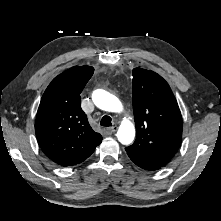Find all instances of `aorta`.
Returning a JSON list of instances; mask_svg holds the SVG:
<instances>
[{
    "label": "aorta",
    "mask_w": 221,
    "mask_h": 221,
    "mask_svg": "<svg viewBox=\"0 0 221 221\" xmlns=\"http://www.w3.org/2000/svg\"><path fill=\"white\" fill-rule=\"evenodd\" d=\"M92 100L99 109L107 112L120 113L123 109L122 103L116 96L102 89H98L93 92ZM134 137V124L128 120L122 121L117 131V138L119 142L124 145H129L133 142Z\"/></svg>",
    "instance_id": "obj_1"
}]
</instances>
